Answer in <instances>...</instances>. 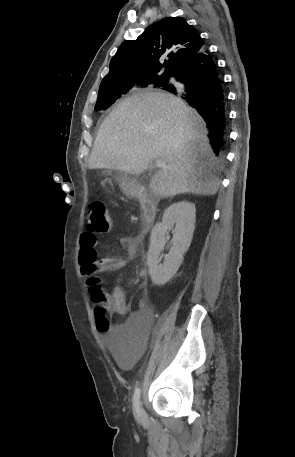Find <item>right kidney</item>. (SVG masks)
<instances>
[{"label":"right kidney","mask_w":295,"mask_h":457,"mask_svg":"<svg viewBox=\"0 0 295 457\" xmlns=\"http://www.w3.org/2000/svg\"><path fill=\"white\" fill-rule=\"evenodd\" d=\"M195 221V204L180 201L170 205L164 211L162 222L157 223L152 229L147 264L150 277L155 285H164L178 271L183 262V255L190 247ZM167 230H172L173 233L172 248L165 256L164 263L161 264L159 257L165 245Z\"/></svg>","instance_id":"1"}]
</instances>
